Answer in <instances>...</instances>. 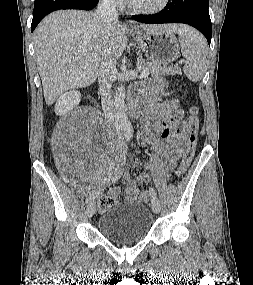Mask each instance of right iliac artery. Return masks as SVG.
I'll return each instance as SVG.
<instances>
[{"mask_svg":"<svg viewBox=\"0 0 253 285\" xmlns=\"http://www.w3.org/2000/svg\"><path fill=\"white\" fill-rule=\"evenodd\" d=\"M122 174H123V171L117 173L114 177H112V179H111L110 181H108V183L106 184V186H104V187H102V188H99V190H96L95 192H93V193L90 195V197H89V201H92V200H94L96 197H98V196L102 193V191H103L107 186H110L111 184L116 183V182L120 179V177H121Z\"/></svg>","mask_w":253,"mask_h":285,"instance_id":"1","label":"right iliac artery"}]
</instances>
